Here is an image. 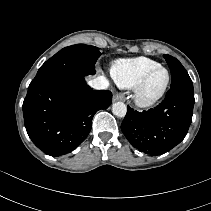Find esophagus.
<instances>
[{
  "instance_id": "esophagus-1",
  "label": "esophagus",
  "mask_w": 211,
  "mask_h": 211,
  "mask_svg": "<svg viewBox=\"0 0 211 211\" xmlns=\"http://www.w3.org/2000/svg\"><path fill=\"white\" fill-rule=\"evenodd\" d=\"M124 100V94L123 93H118L116 95L113 96V101H121Z\"/></svg>"
}]
</instances>
